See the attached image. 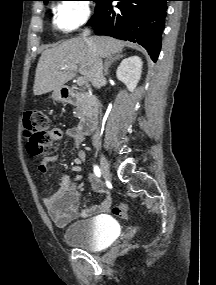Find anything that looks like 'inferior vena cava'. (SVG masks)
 <instances>
[{"label": "inferior vena cava", "mask_w": 216, "mask_h": 285, "mask_svg": "<svg viewBox=\"0 0 216 285\" xmlns=\"http://www.w3.org/2000/svg\"><path fill=\"white\" fill-rule=\"evenodd\" d=\"M90 34L89 29L83 31V37L87 38ZM90 81L95 88H100L103 81V64L101 57L97 54L94 47H92V59L90 63ZM96 125V124H95ZM99 138V130L97 129L96 133L93 135V143L96 144Z\"/></svg>", "instance_id": "602c4592"}]
</instances>
